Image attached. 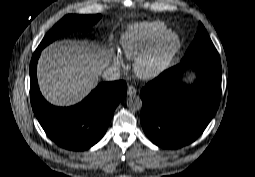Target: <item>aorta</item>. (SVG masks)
<instances>
[{"mask_svg":"<svg viewBox=\"0 0 255 177\" xmlns=\"http://www.w3.org/2000/svg\"><path fill=\"white\" fill-rule=\"evenodd\" d=\"M126 105L131 111H139L142 108V100L139 96H129Z\"/></svg>","mask_w":255,"mask_h":177,"instance_id":"obj_1","label":"aorta"}]
</instances>
